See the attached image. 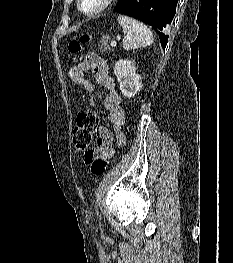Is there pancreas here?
I'll return each mask as SVG.
<instances>
[{
    "label": "pancreas",
    "instance_id": "cf45deb5",
    "mask_svg": "<svg viewBox=\"0 0 233 263\" xmlns=\"http://www.w3.org/2000/svg\"><path fill=\"white\" fill-rule=\"evenodd\" d=\"M100 50L102 52H108L110 50L109 46H108V38L104 37L101 40V45H100Z\"/></svg>",
    "mask_w": 233,
    "mask_h": 263
}]
</instances>
